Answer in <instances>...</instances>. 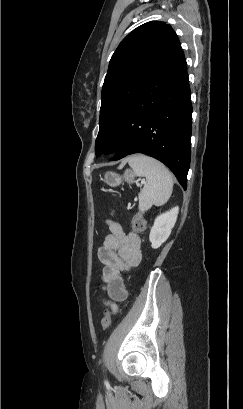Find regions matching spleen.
I'll use <instances>...</instances> for the list:
<instances>
[{
	"mask_svg": "<svg viewBox=\"0 0 243 409\" xmlns=\"http://www.w3.org/2000/svg\"><path fill=\"white\" fill-rule=\"evenodd\" d=\"M128 163L136 176L146 178L138 195L139 210L144 212L153 205L165 204L173 190V178L169 170L159 161L140 154L129 157Z\"/></svg>",
	"mask_w": 243,
	"mask_h": 409,
	"instance_id": "spleen-1",
	"label": "spleen"
}]
</instances>
